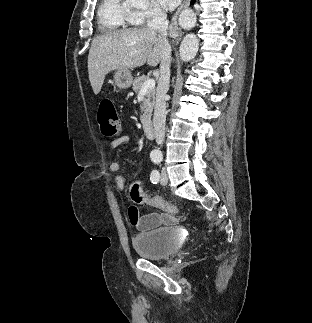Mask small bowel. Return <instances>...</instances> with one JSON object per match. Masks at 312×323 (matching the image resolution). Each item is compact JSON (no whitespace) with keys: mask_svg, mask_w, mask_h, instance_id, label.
<instances>
[{"mask_svg":"<svg viewBox=\"0 0 312 323\" xmlns=\"http://www.w3.org/2000/svg\"><path fill=\"white\" fill-rule=\"evenodd\" d=\"M129 142H130V137L127 135H123L114 139L111 142L110 146L112 149H117L123 145L128 144ZM109 169L111 172L116 173L119 171L120 165L117 161H113L109 164ZM115 183L120 190L122 191L125 190L126 184H125L124 177L117 175L115 177ZM130 210L131 209L128 210L129 221L132 224V226L139 231H148L160 226L175 225L178 220L176 216L168 213L153 212L146 215H140L139 212L136 211L135 209L134 210L136 211V214L134 216H131L129 214Z\"/></svg>","mask_w":312,"mask_h":323,"instance_id":"small-bowel-1","label":"small bowel"}]
</instances>
